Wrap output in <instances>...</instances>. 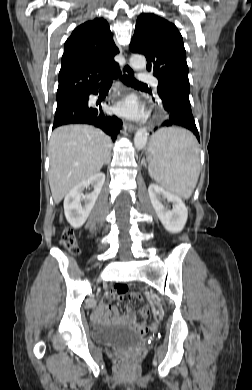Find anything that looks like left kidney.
<instances>
[{"label":"left kidney","instance_id":"obj_1","mask_svg":"<svg viewBox=\"0 0 252 390\" xmlns=\"http://www.w3.org/2000/svg\"><path fill=\"white\" fill-rule=\"evenodd\" d=\"M148 193L152 206L165 229L171 233L182 231L187 221L188 211L181 198L156 184L149 185ZM163 201L171 202L173 208L164 205Z\"/></svg>","mask_w":252,"mask_h":390}]
</instances>
